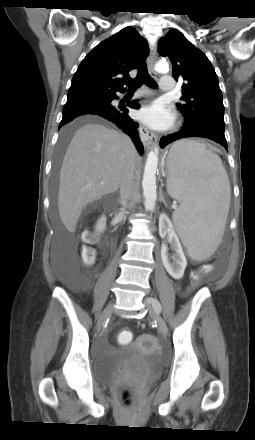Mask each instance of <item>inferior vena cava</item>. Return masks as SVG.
<instances>
[{"mask_svg": "<svg viewBox=\"0 0 255 440\" xmlns=\"http://www.w3.org/2000/svg\"><path fill=\"white\" fill-rule=\"evenodd\" d=\"M136 153V150L132 144V154ZM134 175H135V163L131 157L126 165L125 174L120 183V204L123 209L130 207L129 200L134 191Z\"/></svg>", "mask_w": 255, "mask_h": 440, "instance_id": "inferior-vena-cava-1", "label": "inferior vena cava"}]
</instances>
